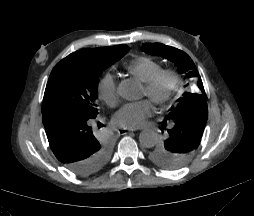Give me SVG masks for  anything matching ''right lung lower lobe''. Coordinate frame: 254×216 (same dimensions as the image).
Here are the masks:
<instances>
[{
    "instance_id": "right-lung-lower-lobe-1",
    "label": "right lung lower lobe",
    "mask_w": 254,
    "mask_h": 216,
    "mask_svg": "<svg viewBox=\"0 0 254 216\" xmlns=\"http://www.w3.org/2000/svg\"><path fill=\"white\" fill-rule=\"evenodd\" d=\"M42 120L56 158L75 174L86 175L103 149L94 136L93 119L54 110L43 114Z\"/></svg>"
}]
</instances>
